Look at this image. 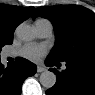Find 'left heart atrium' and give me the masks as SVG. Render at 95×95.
I'll use <instances>...</instances> for the list:
<instances>
[{"label": "left heart atrium", "mask_w": 95, "mask_h": 95, "mask_svg": "<svg viewBox=\"0 0 95 95\" xmlns=\"http://www.w3.org/2000/svg\"><path fill=\"white\" fill-rule=\"evenodd\" d=\"M46 52L45 46L36 44L25 45L21 50L22 56L33 62H38Z\"/></svg>", "instance_id": "left-heart-atrium-1"}]
</instances>
